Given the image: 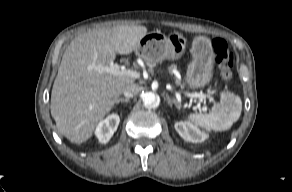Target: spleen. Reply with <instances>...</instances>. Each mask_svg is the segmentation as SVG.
I'll return each mask as SVG.
<instances>
[{"label": "spleen", "instance_id": "spleen-1", "mask_svg": "<svg viewBox=\"0 0 292 192\" xmlns=\"http://www.w3.org/2000/svg\"><path fill=\"white\" fill-rule=\"evenodd\" d=\"M241 111V98L226 92L221 95V102L213 106L210 114L191 113L188 119L207 131H226L239 119Z\"/></svg>", "mask_w": 292, "mask_h": 192}]
</instances>
